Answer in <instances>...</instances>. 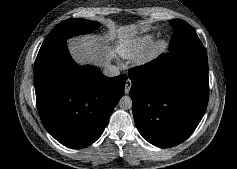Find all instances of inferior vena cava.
<instances>
[{
    "label": "inferior vena cava",
    "instance_id": "1",
    "mask_svg": "<svg viewBox=\"0 0 237 169\" xmlns=\"http://www.w3.org/2000/svg\"><path fill=\"white\" fill-rule=\"evenodd\" d=\"M103 74L107 77H115L120 74V70L117 66L108 64L104 67Z\"/></svg>",
    "mask_w": 237,
    "mask_h": 169
}]
</instances>
